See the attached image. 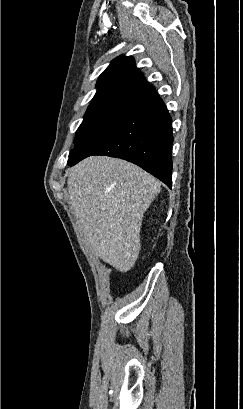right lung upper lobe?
Masks as SVG:
<instances>
[{"label": "right lung upper lobe", "instance_id": "obj_1", "mask_svg": "<svg viewBox=\"0 0 243 409\" xmlns=\"http://www.w3.org/2000/svg\"><path fill=\"white\" fill-rule=\"evenodd\" d=\"M149 84L135 66L132 57L120 56L113 60L97 81V92L92 101H124Z\"/></svg>", "mask_w": 243, "mask_h": 409}]
</instances>
